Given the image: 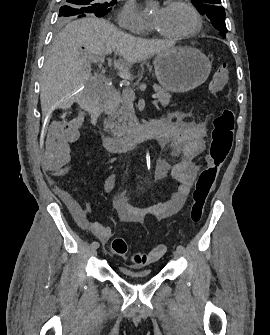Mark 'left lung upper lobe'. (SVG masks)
<instances>
[{"mask_svg":"<svg viewBox=\"0 0 270 335\" xmlns=\"http://www.w3.org/2000/svg\"><path fill=\"white\" fill-rule=\"evenodd\" d=\"M202 15H205L212 26L225 37V11L220 6L221 0H191Z\"/></svg>","mask_w":270,"mask_h":335,"instance_id":"1","label":"left lung upper lobe"}]
</instances>
